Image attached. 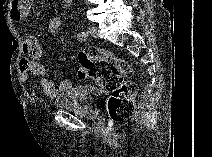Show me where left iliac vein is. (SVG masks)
I'll list each match as a JSON object with an SVG mask.
<instances>
[{"label":"left iliac vein","mask_w":212,"mask_h":157,"mask_svg":"<svg viewBox=\"0 0 212 157\" xmlns=\"http://www.w3.org/2000/svg\"><path fill=\"white\" fill-rule=\"evenodd\" d=\"M89 33L93 36V37H97L98 34H97V28L95 26H91L89 28Z\"/></svg>","instance_id":"1"}]
</instances>
